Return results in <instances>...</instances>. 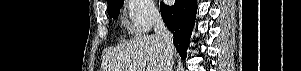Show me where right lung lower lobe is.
<instances>
[{"mask_svg": "<svg viewBox=\"0 0 301 71\" xmlns=\"http://www.w3.org/2000/svg\"><path fill=\"white\" fill-rule=\"evenodd\" d=\"M160 8L163 21L173 33V42L179 55L186 59V50L197 13V0H175L173 6L161 2Z\"/></svg>", "mask_w": 301, "mask_h": 71, "instance_id": "obj_1", "label": "right lung lower lobe"}]
</instances>
